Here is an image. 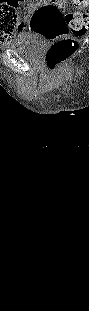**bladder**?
Masks as SVG:
<instances>
[{
  "label": "bladder",
  "mask_w": 89,
  "mask_h": 311,
  "mask_svg": "<svg viewBox=\"0 0 89 311\" xmlns=\"http://www.w3.org/2000/svg\"><path fill=\"white\" fill-rule=\"evenodd\" d=\"M9 48L19 53L26 60H36L43 53V44L35 38H27V36L23 41L12 43Z\"/></svg>",
  "instance_id": "31cf9c89"
}]
</instances>
